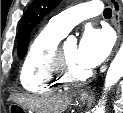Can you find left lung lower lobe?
Listing matches in <instances>:
<instances>
[{
	"mask_svg": "<svg viewBox=\"0 0 123 113\" xmlns=\"http://www.w3.org/2000/svg\"><path fill=\"white\" fill-rule=\"evenodd\" d=\"M115 7L118 8L117 3H115Z\"/></svg>",
	"mask_w": 123,
	"mask_h": 113,
	"instance_id": "0a47b994",
	"label": "left lung lower lobe"
}]
</instances>
